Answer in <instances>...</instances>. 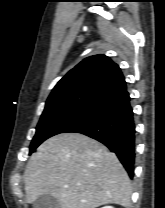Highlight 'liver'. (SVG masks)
<instances>
[{
  "label": "liver",
  "mask_w": 165,
  "mask_h": 208,
  "mask_svg": "<svg viewBox=\"0 0 165 208\" xmlns=\"http://www.w3.org/2000/svg\"><path fill=\"white\" fill-rule=\"evenodd\" d=\"M24 181L28 203L50 195L60 208L131 205V181L117 156L80 133H61L43 142L28 161Z\"/></svg>",
  "instance_id": "1"
}]
</instances>
